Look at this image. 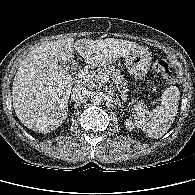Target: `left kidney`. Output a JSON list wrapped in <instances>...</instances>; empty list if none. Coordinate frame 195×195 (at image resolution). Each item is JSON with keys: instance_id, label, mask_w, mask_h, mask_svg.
Instances as JSON below:
<instances>
[{"instance_id": "left-kidney-1", "label": "left kidney", "mask_w": 195, "mask_h": 195, "mask_svg": "<svg viewBox=\"0 0 195 195\" xmlns=\"http://www.w3.org/2000/svg\"><path fill=\"white\" fill-rule=\"evenodd\" d=\"M124 124H125V127L127 128V130H129V131L133 130L134 126H133V123L130 119H127Z\"/></svg>"}]
</instances>
